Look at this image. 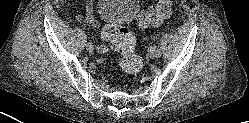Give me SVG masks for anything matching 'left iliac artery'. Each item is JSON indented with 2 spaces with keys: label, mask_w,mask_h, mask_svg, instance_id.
<instances>
[{
  "label": "left iliac artery",
  "mask_w": 249,
  "mask_h": 123,
  "mask_svg": "<svg viewBox=\"0 0 249 123\" xmlns=\"http://www.w3.org/2000/svg\"><path fill=\"white\" fill-rule=\"evenodd\" d=\"M156 58H159L161 56V50L159 47L156 48Z\"/></svg>",
  "instance_id": "44dca946"
}]
</instances>
